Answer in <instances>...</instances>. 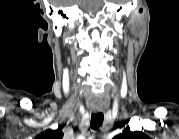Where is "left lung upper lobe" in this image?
<instances>
[{
	"mask_svg": "<svg viewBox=\"0 0 179 139\" xmlns=\"http://www.w3.org/2000/svg\"><path fill=\"white\" fill-rule=\"evenodd\" d=\"M143 136L145 135L141 132H131L129 129H127L122 134H119L116 139H139Z\"/></svg>",
	"mask_w": 179,
	"mask_h": 139,
	"instance_id": "obj_1",
	"label": "left lung upper lobe"
}]
</instances>
